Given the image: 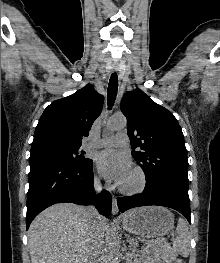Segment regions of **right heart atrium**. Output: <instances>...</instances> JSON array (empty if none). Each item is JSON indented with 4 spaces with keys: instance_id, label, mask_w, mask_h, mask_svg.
Instances as JSON below:
<instances>
[{
    "instance_id": "obj_1",
    "label": "right heart atrium",
    "mask_w": 220,
    "mask_h": 263,
    "mask_svg": "<svg viewBox=\"0 0 220 263\" xmlns=\"http://www.w3.org/2000/svg\"><path fill=\"white\" fill-rule=\"evenodd\" d=\"M93 181L96 186L100 185V178L97 175H94Z\"/></svg>"
}]
</instances>
